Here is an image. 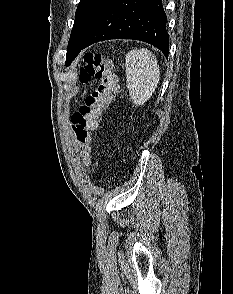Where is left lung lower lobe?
Instances as JSON below:
<instances>
[{
	"instance_id": "0a47b994",
	"label": "left lung lower lobe",
	"mask_w": 233,
	"mask_h": 294,
	"mask_svg": "<svg viewBox=\"0 0 233 294\" xmlns=\"http://www.w3.org/2000/svg\"><path fill=\"white\" fill-rule=\"evenodd\" d=\"M167 17L161 0H111L88 34L82 49L109 39H136L169 52Z\"/></svg>"
}]
</instances>
